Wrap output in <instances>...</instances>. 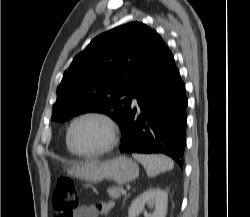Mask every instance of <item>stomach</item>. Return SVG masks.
Wrapping results in <instances>:
<instances>
[{
    "mask_svg": "<svg viewBox=\"0 0 250 217\" xmlns=\"http://www.w3.org/2000/svg\"><path fill=\"white\" fill-rule=\"evenodd\" d=\"M70 173L92 183L109 179L121 185L134 180L139 174V168L132 159L120 156L104 162L86 161L75 164L70 168Z\"/></svg>",
    "mask_w": 250,
    "mask_h": 217,
    "instance_id": "0dacf381",
    "label": "stomach"
}]
</instances>
